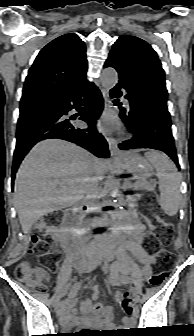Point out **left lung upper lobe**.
Masks as SVG:
<instances>
[{"label": "left lung upper lobe", "mask_w": 194, "mask_h": 336, "mask_svg": "<svg viewBox=\"0 0 194 336\" xmlns=\"http://www.w3.org/2000/svg\"><path fill=\"white\" fill-rule=\"evenodd\" d=\"M107 61L145 102L167 107L165 73L156 52L147 42L123 35L114 43Z\"/></svg>", "instance_id": "obj_1"}]
</instances>
